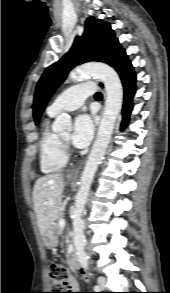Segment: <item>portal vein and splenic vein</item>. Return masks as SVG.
I'll use <instances>...</instances> for the list:
<instances>
[{
  "label": "portal vein and splenic vein",
  "mask_w": 170,
  "mask_h": 293,
  "mask_svg": "<svg viewBox=\"0 0 170 293\" xmlns=\"http://www.w3.org/2000/svg\"><path fill=\"white\" fill-rule=\"evenodd\" d=\"M59 226H60L61 228L65 226V220H64V219H61V220L59 221Z\"/></svg>",
  "instance_id": "portal-vein-and-splenic-vein-1"
}]
</instances>
